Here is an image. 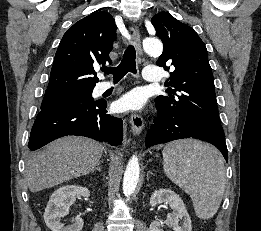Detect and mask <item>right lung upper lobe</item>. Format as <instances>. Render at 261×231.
<instances>
[{"label":"right lung upper lobe","mask_w":261,"mask_h":231,"mask_svg":"<svg viewBox=\"0 0 261 231\" xmlns=\"http://www.w3.org/2000/svg\"><path fill=\"white\" fill-rule=\"evenodd\" d=\"M116 39L114 18L96 12L76 22L64 34L50 73L46 92L93 89L99 79L94 66L111 63L109 53Z\"/></svg>","instance_id":"cb5924a9"}]
</instances>
